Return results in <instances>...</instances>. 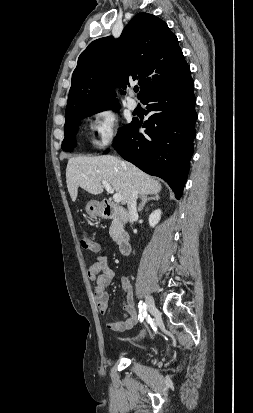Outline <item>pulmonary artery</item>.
Returning a JSON list of instances; mask_svg holds the SVG:
<instances>
[{
	"label": "pulmonary artery",
	"mask_w": 253,
	"mask_h": 413,
	"mask_svg": "<svg viewBox=\"0 0 253 413\" xmlns=\"http://www.w3.org/2000/svg\"><path fill=\"white\" fill-rule=\"evenodd\" d=\"M127 106L130 110L137 108V101L132 97V91L130 92V97L127 99Z\"/></svg>",
	"instance_id": "e3ab8cb5"
}]
</instances>
